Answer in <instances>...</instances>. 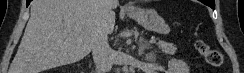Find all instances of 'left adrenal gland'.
I'll list each match as a JSON object with an SVG mask.
<instances>
[{"instance_id":"obj_1","label":"left adrenal gland","mask_w":244,"mask_h":73,"mask_svg":"<svg viewBox=\"0 0 244 73\" xmlns=\"http://www.w3.org/2000/svg\"><path fill=\"white\" fill-rule=\"evenodd\" d=\"M138 55L142 56L145 53L146 49H152L151 45L144 39L143 36L140 37L139 42H138Z\"/></svg>"}]
</instances>
